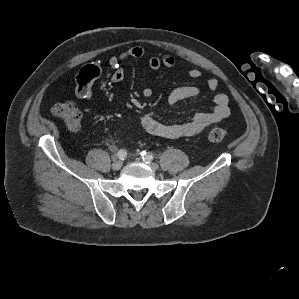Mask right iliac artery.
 <instances>
[{"instance_id":"82829eb1","label":"right iliac artery","mask_w":299,"mask_h":299,"mask_svg":"<svg viewBox=\"0 0 299 299\" xmlns=\"http://www.w3.org/2000/svg\"><path fill=\"white\" fill-rule=\"evenodd\" d=\"M126 156H127V152L124 149L119 150L117 153V157L120 160H124L126 158Z\"/></svg>"}]
</instances>
